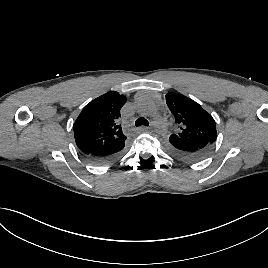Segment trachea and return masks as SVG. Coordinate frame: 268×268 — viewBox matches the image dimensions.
Segmentation results:
<instances>
[{
	"label": "trachea",
	"mask_w": 268,
	"mask_h": 268,
	"mask_svg": "<svg viewBox=\"0 0 268 268\" xmlns=\"http://www.w3.org/2000/svg\"><path fill=\"white\" fill-rule=\"evenodd\" d=\"M149 126L148 120H146L144 117H140L135 121V126Z\"/></svg>",
	"instance_id": "obj_1"
}]
</instances>
